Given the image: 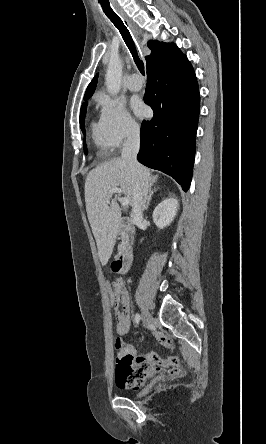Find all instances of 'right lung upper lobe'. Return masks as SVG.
Listing matches in <instances>:
<instances>
[{
    "label": "right lung upper lobe",
    "mask_w": 266,
    "mask_h": 444,
    "mask_svg": "<svg viewBox=\"0 0 266 444\" xmlns=\"http://www.w3.org/2000/svg\"><path fill=\"white\" fill-rule=\"evenodd\" d=\"M148 47L151 54L146 56L147 69L165 64L183 55L175 44H166L158 41H149ZM98 74L92 79L88 85L84 100L89 99L95 91L97 85Z\"/></svg>",
    "instance_id": "1"
}]
</instances>
